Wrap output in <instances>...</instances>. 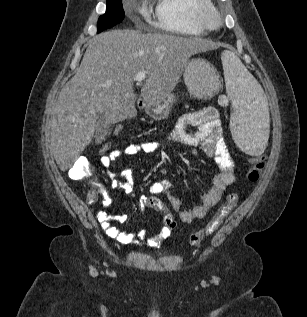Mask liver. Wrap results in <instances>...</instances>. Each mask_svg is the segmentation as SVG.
Here are the masks:
<instances>
[{"instance_id": "6515ba94", "label": "liver", "mask_w": 307, "mask_h": 317, "mask_svg": "<svg viewBox=\"0 0 307 317\" xmlns=\"http://www.w3.org/2000/svg\"><path fill=\"white\" fill-rule=\"evenodd\" d=\"M216 47L198 37L129 29L94 37L55 106L50 144L60 170H68L91 142L99 113L109 124L135 116L137 73L147 74L141 89L144 102L160 101L171 96L191 55Z\"/></svg>"}]
</instances>
